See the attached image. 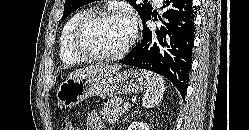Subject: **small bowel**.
Segmentation results:
<instances>
[{
  "label": "small bowel",
  "mask_w": 249,
  "mask_h": 130,
  "mask_svg": "<svg viewBox=\"0 0 249 130\" xmlns=\"http://www.w3.org/2000/svg\"><path fill=\"white\" fill-rule=\"evenodd\" d=\"M87 130H103L104 124L96 111L88 114L86 119Z\"/></svg>",
  "instance_id": "c3829d8e"
}]
</instances>
